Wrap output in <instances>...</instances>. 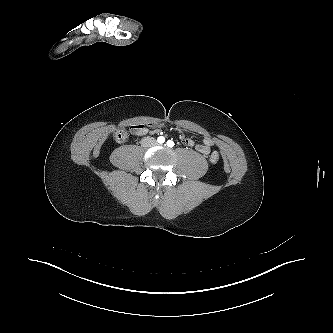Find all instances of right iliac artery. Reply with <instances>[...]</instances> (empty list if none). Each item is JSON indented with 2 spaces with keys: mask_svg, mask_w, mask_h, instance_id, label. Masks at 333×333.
<instances>
[{
  "mask_svg": "<svg viewBox=\"0 0 333 333\" xmlns=\"http://www.w3.org/2000/svg\"><path fill=\"white\" fill-rule=\"evenodd\" d=\"M157 141H158V143L162 144L165 142V138L163 136H159Z\"/></svg>",
  "mask_w": 333,
  "mask_h": 333,
  "instance_id": "right-iliac-artery-1",
  "label": "right iliac artery"
}]
</instances>
